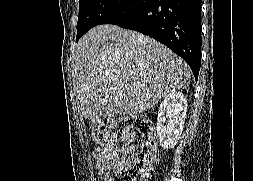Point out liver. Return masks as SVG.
Listing matches in <instances>:
<instances>
[{
    "label": "liver",
    "mask_w": 253,
    "mask_h": 181,
    "mask_svg": "<svg viewBox=\"0 0 253 181\" xmlns=\"http://www.w3.org/2000/svg\"><path fill=\"white\" fill-rule=\"evenodd\" d=\"M74 86L82 115L137 116L191 78L188 65L158 41L116 25H98L77 44Z\"/></svg>",
    "instance_id": "obj_1"
}]
</instances>
